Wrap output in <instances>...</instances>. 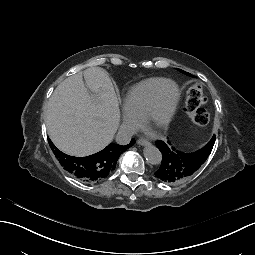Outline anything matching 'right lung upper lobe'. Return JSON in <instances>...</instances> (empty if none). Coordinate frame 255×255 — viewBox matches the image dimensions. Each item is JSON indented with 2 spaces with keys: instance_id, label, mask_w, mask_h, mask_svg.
<instances>
[{
  "instance_id": "cb5924a9",
  "label": "right lung upper lobe",
  "mask_w": 255,
  "mask_h": 255,
  "mask_svg": "<svg viewBox=\"0 0 255 255\" xmlns=\"http://www.w3.org/2000/svg\"><path fill=\"white\" fill-rule=\"evenodd\" d=\"M48 141L53 153L64 169L80 180L88 183L96 182L107 177L116 167L119 156L134 144L132 140L128 145L111 143L100 152L93 154L94 158L100 160V171L97 174H92L90 177H87L85 175L86 171L83 170V157H74L64 154L53 145L51 140Z\"/></svg>"
}]
</instances>
